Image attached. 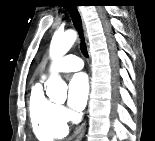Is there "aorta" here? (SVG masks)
I'll use <instances>...</instances> for the list:
<instances>
[{
	"label": "aorta",
	"instance_id": "762f6f07",
	"mask_svg": "<svg viewBox=\"0 0 155 141\" xmlns=\"http://www.w3.org/2000/svg\"><path fill=\"white\" fill-rule=\"evenodd\" d=\"M77 34L73 30L55 33L50 44V56L59 59L65 55L76 41ZM46 94L50 100L64 102L67 97V85L57 74H52L47 82Z\"/></svg>",
	"mask_w": 155,
	"mask_h": 141
}]
</instances>
